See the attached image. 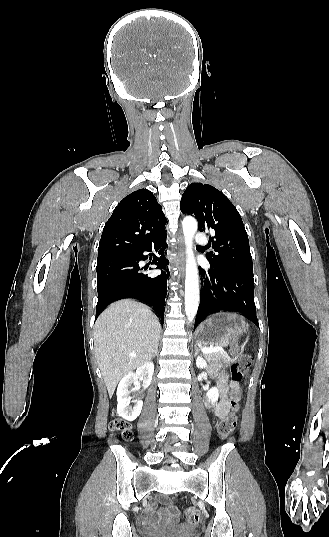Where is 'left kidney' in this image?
<instances>
[{
    "label": "left kidney",
    "mask_w": 329,
    "mask_h": 537,
    "mask_svg": "<svg viewBox=\"0 0 329 537\" xmlns=\"http://www.w3.org/2000/svg\"><path fill=\"white\" fill-rule=\"evenodd\" d=\"M196 366L198 368H206L207 362L202 357H198L196 359ZM218 397H219V390L217 387H213L207 392V398L213 404H215V402L218 401Z\"/></svg>",
    "instance_id": "1"
}]
</instances>
